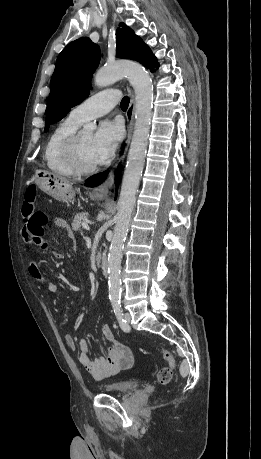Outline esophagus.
Wrapping results in <instances>:
<instances>
[{
    "mask_svg": "<svg viewBox=\"0 0 261 459\" xmlns=\"http://www.w3.org/2000/svg\"><path fill=\"white\" fill-rule=\"evenodd\" d=\"M127 89L130 94V103L126 112V118H127V140L126 144L127 146L130 143L132 133H133V127H134V114H135V94L133 89L128 85ZM127 146L125 148L124 154L121 156L119 159L118 163L113 167L112 171L108 175L107 179L101 183L100 185L96 186L92 190V194L97 196V197H107L110 189L114 185V177H115V171L118 168V164L124 159L125 152L127 150Z\"/></svg>",
    "mask_w": 261,
    "mask_h": 459,
    "instance_id": "1",
    "label": "esophagus"
}]
</instances>
